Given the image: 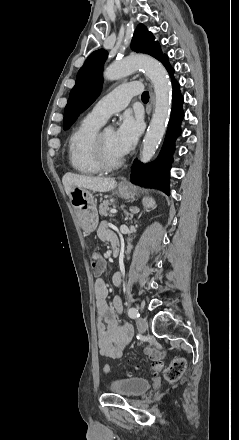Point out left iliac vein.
Wrapping results in <instances>:
<instances>
[{"label":"left iliac vein","instance_id":"1","mask_svg":"<svg viewBox=\"0 0 239 440\" xmlns=\"http://www.w3.org/2000/svg\"><path fill=\"white\" fill-rule=\"evenodd\" d=\"M137 328L140 332H145L147 329V322L144 318L140 317L136 320Z\"/></svg>","mask_w":239,"mask_h":440}]
</instances>
